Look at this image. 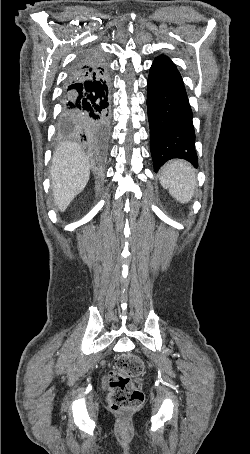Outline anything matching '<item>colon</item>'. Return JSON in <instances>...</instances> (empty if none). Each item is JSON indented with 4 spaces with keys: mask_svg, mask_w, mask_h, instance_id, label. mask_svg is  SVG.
Here are the masks:
<instances>
[{
    "mask_svg": "<svg viewBox=\"0 0 250 454\" xmlns=\"http://www.w3.org/2000/svg\"><path fill=\"white\" fill-rule=\"evenodd\" d=\"M144 364L135 354H124L117 358L114 369L109 373V407L113 412L133 410L143 402V393L134 385L133 378L142 374Z\"/></svg>",
    "mask_w": 250,
    "mask_h": 454,
    "instance_id": "obj_1",
    "label": "colon"
}]
</instances>
